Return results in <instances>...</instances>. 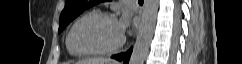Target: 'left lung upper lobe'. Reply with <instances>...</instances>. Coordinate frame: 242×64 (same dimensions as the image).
Here are the masks:
<instances>
[{"label":"left lung upper lobe","mask_w":242,"mask_h":64,"mask_svg":"<svg viewBox=\"0 0 242 64\" xmlns=\"http://www.w3.org/2000/svg\"><path fill=\"white\" fill-rule=\"evenodd\" d=\"M104 1L107 0H66L65 7L60 16L58 32H62L83 11Z\"/></svg>","instance_id":"1"}]
</instances>
